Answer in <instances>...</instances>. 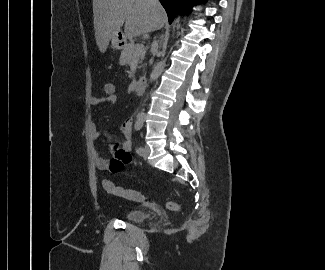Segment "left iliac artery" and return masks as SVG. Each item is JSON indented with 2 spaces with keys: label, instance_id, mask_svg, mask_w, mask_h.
Segmentation results:
<instances>
[{
  "label": "left iliac artery",
  "instance_id": "1",
  "mask_svg": "<svg viewBox=\"0 0 325 270\" xmlns=\"http://www.w3.org/2000/svg\"><path fill=\"white\" fill-rule=\"evenodd\" d=\"M142 122L141 121H139V122H137L136 124H135V129L136 130H140L141 128H142ZM143 152V147H138V149H137V153L138 154H140L141 155V153Z\"/></svg>",
  "mask_w": 325,
  "mask_h": 270
}]
</instances>
